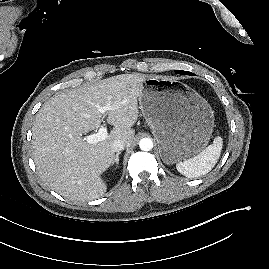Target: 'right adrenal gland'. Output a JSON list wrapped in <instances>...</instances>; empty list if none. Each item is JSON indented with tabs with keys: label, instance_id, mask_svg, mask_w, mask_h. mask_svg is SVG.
<instances>
[{
	"label": "right adrenal gland",
	"instance_id": "right-adrenal-gland-1",
	"mask_svg": "<svg viewBox=\"0 0 269 269\" xmlns=\"http://www.w3.org/2000/svg\"><path fill=\"white\" fill-rule=\"evenodd\" d=\"M121 154V152H118L116 155H115V160L114 162L112 163V165L116 164V166L118 167L119 165V155Z\"/></svg>",
	"mask_w": 269,
	"mask_h": 269
}]
</instances>
